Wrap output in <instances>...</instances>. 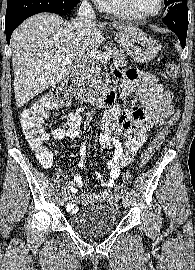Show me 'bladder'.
<instances>
[{
	"instance_id": "1",
	"label": "bladder",
	"mask_w": 195,
	"mask_h": 270,
	"mask_svg": "<svg viewBox=\"0 0 195 270\" xmlns=\"http://www.w3.org/2000/svg\"><path fill=\"white\" fill-rule=\"evenodd\" d=\"M119 219L120 211L116 205L98 204L77 211L71 217V224L84 234L97 236L113 230Z\"/></svg>"
}]
</instances>
